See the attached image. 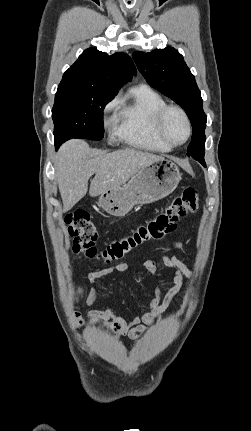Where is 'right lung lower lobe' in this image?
Segmentation results:
<instances>
[{"label": "right lung lower lobe", "instance_id": "98d812e1", "mask_svg": "<svg viewBox=\"0 0 251 431\" xmlns=\"http://www.w3.org/2000/svg\"><path fill=\"white\" fill-rule=\"evenodd\" d=\"M55 147H56V149H58L59 146L55 143Z\"/></svg>", "mask_w": 251, "mask_h": 431}]
</instances>
